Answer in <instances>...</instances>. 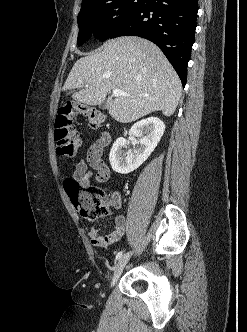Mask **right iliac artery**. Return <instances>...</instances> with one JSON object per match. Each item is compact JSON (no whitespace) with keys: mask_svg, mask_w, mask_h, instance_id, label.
Segmentation results:
<instances>
[{"mask_svg":"<svg viewBox=\"0 0 247 332\" xmlns=\"http://www.w3.org/2000/svg\"><path fill=\"white\" fill-rule=\"evenodd\" d=\"M122 253H123V251L117 253V255H116V260H119V259L121 258Z\"/></svg>","mask_w":247,"mask_h":332,"instance_id":"82829eb1","label":"right iliac artery"}]
</instances>
